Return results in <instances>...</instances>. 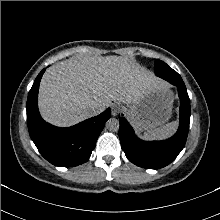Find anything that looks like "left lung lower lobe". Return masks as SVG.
Instances as JSON below:
<instances>
[{
	"label": "left lung lower lobe",
	"mask_w": 220,
	"mask_h": 220,
	"mask_svg": "<svg viewBox=\"0 0 220 220\" xmlns=\"http://www.w3.org/2000/svg\"><path fill=\"white\" fill-rule=\"evenodd\" d=\"M159 77L178 88L180 124L176 134L164 141H142L128 121L120 118L119 138L126 157L135 165L147 169H159L170 164L184 148L189 131L190 99L181 76L168 66Z\"/></svg>",
	"instance_id": "0a47b994"
}]
</instances>
